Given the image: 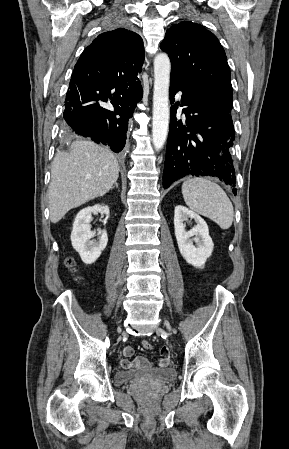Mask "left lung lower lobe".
I'll list each match as a JSON object with an SVG mask.
<instances>
[{
    "mask_svg": "<svg viewBox=\"0 0 289 449\" xmlns=\"http://www.w3.org/2000/svg\"><path fill=\"white\" fill-rule=\"evenodd\" d=\"M182 91L180 102L171 107L170 130L163 172V187L187 175L213 176L235 186L231 147L235 131L231 113L214 105L192 83L171 79L170 100ZM186 106V122L176 119L178 105ZM236 195V189L233 190Z\"/></svg>",
    "mask_w": 289,
    "mask_h": 449,
    "instance_id": "1",
    "label": "left lung lower lobe"
}]
</instances>
